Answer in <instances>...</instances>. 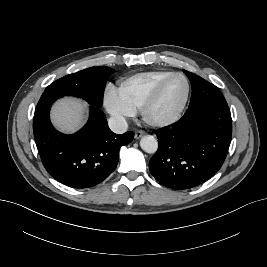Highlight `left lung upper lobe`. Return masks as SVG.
<instances>
[{
  "instance_id": "5c2ea615",
  "label": "left lung upper lobe",
  "mask_w": 267,
  "mask_h": 267,
  "mask_svg": "<svg viewBox=\"0 0 267 267\" xmlns=\"http://www.w3.org/2000/svg\"><path fill=\"white\" fill-rule=\"evenodd\" d=\"M183 72L188 76V78L192 83L191 98H201L208 94L214 97L212 98V100L214 101L213 103L214 107H219L224 104H227L222 93L215 85L205 81L200 76H197L191 72H188L186 70H183Z\"/></svg>"
}]
</instances>
